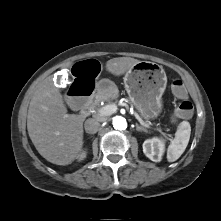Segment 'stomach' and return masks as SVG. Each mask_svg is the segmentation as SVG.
<instances>
[{
    "label": "stomach",
    "mask_w": 221,
    "mask_h": 221,
    "mask_svg": "<svg viewBox=\"0 0 221 221\" xmlns=\"http://www.w3.org/2000/svg\"><path fill=\"white\" fill-rule=\"evenodd\" d=\"M124 84L129 100L144 118L155 119L161 114L167 84L162 66L140 61L126 72Z\"/></svg>",
    "instance_id": "1"
}]
</instances>
